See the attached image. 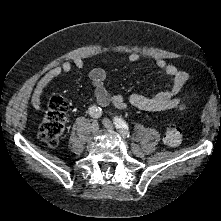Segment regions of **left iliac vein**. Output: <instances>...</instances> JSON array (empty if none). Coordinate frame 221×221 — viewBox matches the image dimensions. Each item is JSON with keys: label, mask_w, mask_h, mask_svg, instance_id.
Segmentation results:
<instances>
[{"label": "left iliac vein", "mask_w": 221, "mask_h": 221, "mask_svg": "<svg viewBox=\"0 0 221 221\" xmlns=\"http://www.w3.org/2000/svg\"><path fill=\"white\" fill-rule=\"evenodd\" d=\"M103 125L107 128V129H109V130H113L114 129V126H113V124H112V122L109 120V119H107V118H104L103 119ZM121 134V133H120ZM122 135V134H121Z\"/></svg>", "instance_id": "left-iliac-vein-1"}]
</instances>
